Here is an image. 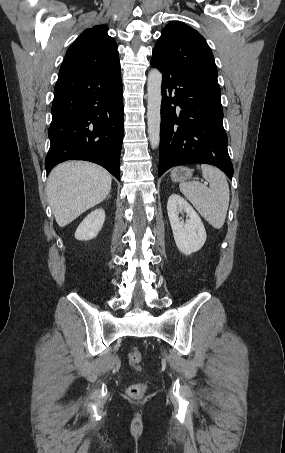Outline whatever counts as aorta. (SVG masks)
I'll use <instances>...</instances> for the list:
<instances>
[{
  "instance_id": "1",
  "label": "aorta",
  "mask_w": 285,
  "mask_h": 453,
  "mask_svg": "<svg viewBox=\"0 0 285 453\" xmlns=\"http://www.w3.org/2000/svg\"><path fill=\"white\" fill-rule=\"evenodd\" d=\"M161 84L162 74L158 69H152L148 74L147 95V122L148 137L151 147L157 148L160 142V122H161Z\"/></svg>"
}]
</instances>
